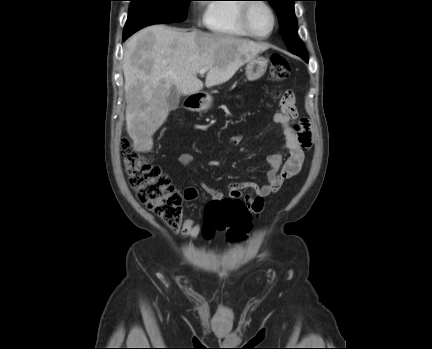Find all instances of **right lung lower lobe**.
<instances>
[{
  "mask_svg": "<svg viewBox=\"0 0 432 349\" xmlns=\"http://www.w3.org/2000/svg\"><path fill=\"white\" fill-rule=\"evenodd\" d=\"M128 37H129V35H123V40H125Z\"/></svg>",
  "mask_w": 432,
  "mask_h": 349,
  "instance_id": "1",
  "label": "right lung lower lobe"
}]
</instances>
